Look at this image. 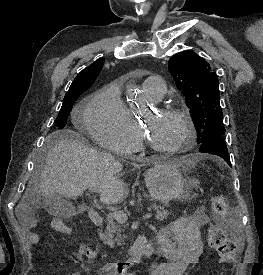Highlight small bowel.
Returning a JSON list of instances; mask_svg holds the SVG:
<instances>
[{
    "mask_svg": "<svg viewBox=\"0 0 263 275\" xmlns=\"http://www.w3.org/2000/svg\"><path fill=\"white\" fill-rule=\"evenodd\" d=\"M56 221L61 220H55L53 227ZM25 222L27 229H31L35 224L32 220ZM208 225H210L209 217L205 209L200 207L191 215L181 216L163 227L158 233L157 249L151 247V250L152 253L163 255L167 260L155 266L151 275H183L190 265L196 264L204 250L202 229ZM171 236H174L176 243L172 242ZM30 239L32 243L39 241L38 235L33 232H30ZM76 251L89 259L98 255L97 248H91L85 244L77 245ZM97 273L99 275H135L127 270L121 272L111 264L103 265ZM70 275H83V273L76 271Z\"/></svg>",
    "mask_w": 263,
    "mask_h": 275,
    "instance_id": "obj_1",
    "label": "small bowel"
}]
</instances>
